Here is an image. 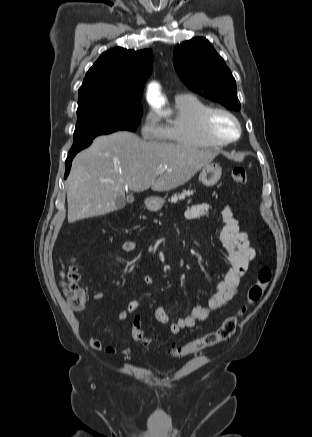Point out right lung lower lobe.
I'll list each match as a JSON object with an SVG mask.
<instances>
[{
    "instance_id": "1",
    "label": "right lung lower lobe",
    "mask_w": 312,
    "mask_h": 437,
    "mask_svg": "<svg viewBox=\"0 0 312 437\" xmlns=\"http://www.w3.org/2000/svg\"><path fill=\"white\" fill-rule=\"evenodd\" d=\"M76 154H71V155H69L67 157L66 162H65V176H64V178H67V176H68V174L70 172V168H71V164H72V159L74 158V156Z\"/></svg>"
}]
</instances>
